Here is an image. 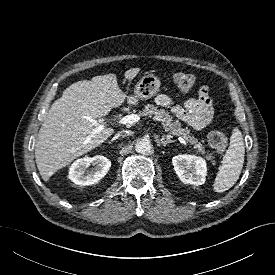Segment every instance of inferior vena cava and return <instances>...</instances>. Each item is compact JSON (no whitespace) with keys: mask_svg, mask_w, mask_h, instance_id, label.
<instances>
[{"mask_svg":"<svg viewBox=\"0 0 275 275\" xmlns=\"http://www.w3.org/2000/svg\"><path fill=\"white\" fill-rule=\"evenodd\" d=\"M129 134H131V131H128V130H122V131H120V132H118L115 136H114V138H118V137H124V136H126V135H129Z\"/></svg>","mask_w":275,"mask_h":275,"instance_id":"obj_1","label":"inferior vena cava"}]
</instances>
